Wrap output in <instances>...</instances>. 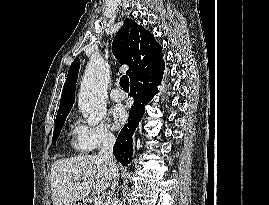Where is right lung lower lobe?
<instances>
[{
  "label": "right lung lower lobe",
  "mask_w": 269,
  "mask_h": 205,
  "mask_svg": "<svg viewBox=\"0 0 269 205\" xmlns=\"http://www.w3.org/2000/svg\"><path fill=\"white\" fill-rule=\"evenodd\" d=\"M161 77L147 76L137 83L131 84L130 95L134 98V104L129 112L128 123L122 128L113 147L115 158L127 166L132 161V134L138 126L144 111L145 105L153 98L158 91L157 85L161 83Z\"/></svg>",
  "instance_id": "obj_1"
}]
</instances>
